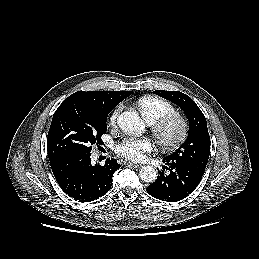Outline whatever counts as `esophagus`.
Returning a JSON list of instances; mask_svg holds the SVG:
<instances>
[{"label":"esophagus","instance_id":"1","mask_svg":"<svg viewBox=\"0 0 259 259\" xmlns=\"http://www.w3.org/2000/svg\"><path fill=\"white\" fill-rule=\"evenodd\" d=\"M125 164L130 165L134 168H140L142 166L141 164L132 163V162H129V161H125Z\"/></svg>","mask_w":259,"mask_h":259}]
</instances>
